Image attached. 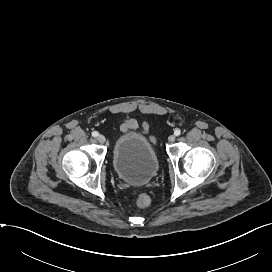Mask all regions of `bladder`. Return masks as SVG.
Wrapping results in <instances>:
<instances>
[{
    "instance_id": "1",
    "label": "bladder",
    "mask_w": 272,
    "mask_h": 272,
    "mask_svg": "<svg viewBox=\"0 0 272 272\" xmlns=\"http://www.w3.org/2000/svg\"><path fill=\"white\" fill-rule=\"evenodd\" d=\"M112 162L118 177L132 185L148 183L159 169L155 148L136 132L123 134L116 140Z\"/></svg>"
}]
</instances>
